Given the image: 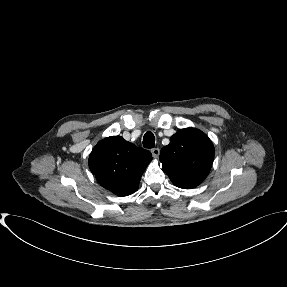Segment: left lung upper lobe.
<instances>
[{"instance_id": "5c2ea615", "label": "left lung upper lobe", "mask_w": 287, "mask_h": 287, "mask_svg": "<svg viewBox=\"0 0 287 287\" xmlns=\"http://www.w3.org/2000/svg\"><path fill=\"white\" fill-rule=\"evenodd\" d=\"M214 159V146L202 131L195 128L178 130L170 144L160 152L162 170L173 184L190 189L207 177Z\"/></svg>"}]
</instances>
